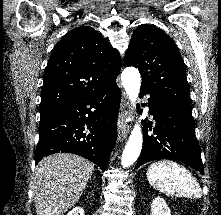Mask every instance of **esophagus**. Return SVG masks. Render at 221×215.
<instances>
[{
  "label": "esophagus",
  "instance_id": "esophagus-1",
  "mask_svg": "<svg viewBox=\"0 0 221 215\" xmlns=\"http://www.w3.org/2000/svg\"><path fill=\"white\" fill-rule=\"evenodd\" d=\"M129 115V99L125 93L122 94L121 106L118 117V139H125L129 133L127 117Z\"/></svg>",
  "mask_w": 221,
  "mask_h": 215
}]
</instances>
